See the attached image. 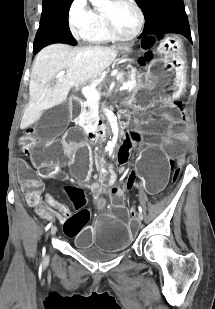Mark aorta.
Segmentation results:
<instances>
[{"instance_id": "762f6f07", "label": "aorta", "mask_w": 215, "mask_h": 309, "mask_svg": "<svg viewBox=\"0 0 215 309\" xmlns=\"http://www.w3.org/2000/svg\"><path fill=\"white\" fill-rule=\"evenodd\" d=\"M90 2L93 6H97V8H107V6H111L112 4V0H90ZM103 112H105L113 132V138L111 142H108L107 146L108 148H114L119 134L118 122L112 110H109V108H103Z\"/></svg>"}]
</instances>
